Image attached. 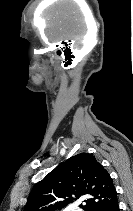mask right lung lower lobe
<instances>
[{"instance_id": "right-lung-lower-lobe-1", "label": "right lung lower lobe", "mask_w": 133, "mask_h": 211, "mask_svg": "<svg viewBox=\"0 0 133 211\" xmlns=\"http://www.w3.org/2000/svg\"><path fill=\"white\" fill-rule=\"evenodd\" d=\"M101 211H119L118 202L114 203L110 207H107L105 209H102Z\"/></svg>"}]
</instances>
